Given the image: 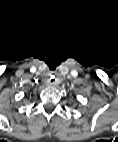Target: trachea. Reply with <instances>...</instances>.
I'll use <instances>...</instances> for the list:
<instances>
[{
	"instance_id": "trachea-1",
	"label": "trachea",
	"mask_w": 118,
	"mask_h": 142,
	"mask_svg": "<svg viewBox=\"0 0 118 142\" xmlns=\"http://www.w3.org/2000/svg\"><path fill=\"white\" fill-rule=\"evenodd\" d=\"M55 68H56V66H52V67L49 66V69H50V70H55Z\"/></svg>"
}]
</instances>
